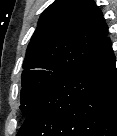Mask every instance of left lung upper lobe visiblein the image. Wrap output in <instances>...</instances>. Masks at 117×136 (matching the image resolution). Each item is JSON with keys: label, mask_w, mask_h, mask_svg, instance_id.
Wrapping results in <instances>:
<instances>
[{"label": "left lung upper lobe", "mask_w": 117, "mask_h": 136, "mask_svg": "<svg viewBox=\"0 0 117 136\" xmlns=\"http://www.w3.org/2000/svg\"><path fill=\"white\" fill-rule=\"evenodd\" d=\"M93 0H56L41 14L23 63L21 111L28 115L48 90L107 38Z\"/></svg>", "instance_id": "left-lung-upper-lobe-1"}]
</instances>
